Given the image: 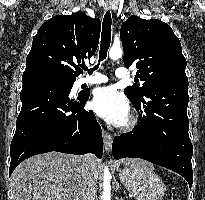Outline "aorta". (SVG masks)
<instances>
[{"label":"aorta","instance_id":"1","mask_svg":"<svg viewBox=\"0 0 205 200\" xmlns=\"http://www.w3.org/2000/svg\"><path fill=\"white\" fill-rule=\"evenodd\" d=\"M123 51L120 46L113 45L109 51V57L112 60H117L122 57ZM111 174L109 171L108 166L104 167L103 172V193H102V200H111Z\"/></svg>","mask_w":205,"mask_h":200}]
</instances>
